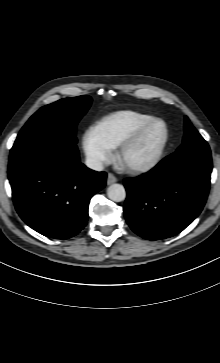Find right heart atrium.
I'll return each mask as SVG.
<instances>
[{
    "instance_id": "obj_1",
    "label": "right heart atrium",
    "mask_w": 220,
    "mask_h": 363,
    "mask_svg": "<svg viewBox=\"0 0 220 363\" xmlns=\"http://www.w3.org/2000/svg\"><path fill=\"white\" fill-rule=\"evenodd\" d=\"M82 149L88 165L93 169H101L112 159L111 148L100 138L95 128L84 132Z\"/></svg>"
}]
</instances>
